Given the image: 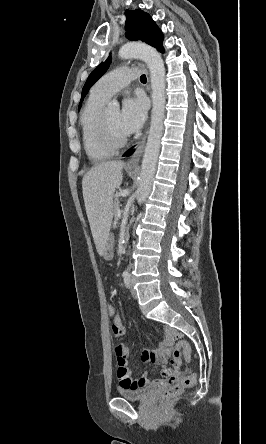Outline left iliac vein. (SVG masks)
Instances as JSON below:
<instances>
[{
  "label": "left iliac vein",
  "mask_w": 266,
  "mask_h": 444,
  "mask_svg": "<svg viewBox=\"0 0 266 444\" xmlns=\"http://www.w3.org/2000/svg\"><path fill=\"white\" fill-rule=\"evenodd\" d=\"M131 294H132V296H133L134 298L137 297V293H136V291H135L134 288H133V282H132V281H131Z\"/></svg>",
  "instance_id": "left-iliac-vein-1"
}]
</instances>
